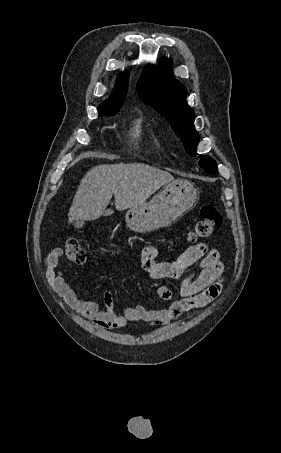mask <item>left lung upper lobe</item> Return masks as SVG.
Listing matches in <instances>:
<instances>
[{"mask_svg":"<svg viewBox=\"0 0 281 453\" xmlns=\"http://www.w3.org/2000/svg\"><path fill=\"white\" fill-rule=\"evenodd\" d=\"M162 65L163 67L148 65L144 69L136 86L138 95L145 104L151 105L170 122L186 152L196 156L199 136L194 127V111L185 101V88L169 71L171 62L163 59ZM198 164L205 172H218L215 160L206 155L200 156Z\"/></svg>","mask_w":281,"mask_h":453,"instance_id":"5c2ea615","label":"left lung upper lobe"}]
</instances>
